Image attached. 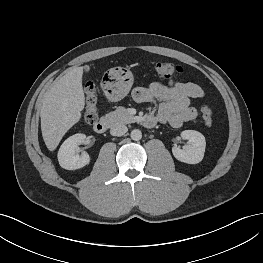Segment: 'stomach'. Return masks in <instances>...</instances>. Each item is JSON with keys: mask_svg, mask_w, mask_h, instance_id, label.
Listing matches in <instances>:
<instances>
[{"mask_svg": "<svg viewBox=\"0 0 263 263\" xmlns=\"http://www.w3.org/2000/svg\"><path fill=\"white\" fill-rule=\"evenodd\" d=\"M133 81V74L130 70L115 67L105 74L103 89L109 100L120 101L129 93Z\"/></svg>", "mask_w": 263, "mask_h": 263, "instance_id": "obj_1", "label": "stomach"}]
</instances>
